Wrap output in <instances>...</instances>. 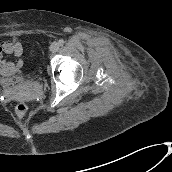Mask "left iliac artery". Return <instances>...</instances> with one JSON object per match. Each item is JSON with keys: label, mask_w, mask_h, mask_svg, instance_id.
I'll list each match as a JSON object with an SVG mask.
<instances>
[{"label": "left iliac artery", "mask_w": 172, "mask_h": 172, "mask_svg": "<svg viewBox=\"0 0 172 172\" xmlns=\"http://www.w3.org/2000/svg\"><path fill=\"white\" fill-rule=\"evenodd\" d=\"M58 43H59V45H61V46H62L65 42H64V40H63V39H60Z\"/></svg>", "instance_id": "44dca946"}]
</instances>
